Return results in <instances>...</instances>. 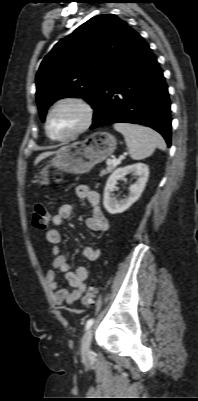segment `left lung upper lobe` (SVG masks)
<instances>
[{
  "label": "left lung upper lobe",
  "instance_id": "1",
  "mask_svg": "<svg viewBox=\"0 0 198 401\" xmlns=\"http://www.w3.org/2000/svg\"><path fill=\"white\" fill-rule=\"evenodd\" d=\"M136 35L116 15L107 14L91 18L61 39L36 75L41 120L53 102L65 97H83L94 108L106 79Z\"/></svg>",
  "mask_w": 198,
  "mask_h": 401
}]
</instances>
